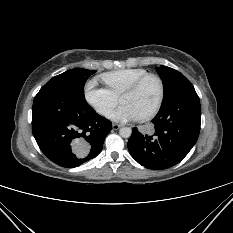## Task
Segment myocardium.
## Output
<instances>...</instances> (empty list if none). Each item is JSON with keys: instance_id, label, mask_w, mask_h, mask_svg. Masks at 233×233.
<instances>
[{"instance_id": "f54148a6", "label": "myocardium", "mask_w": 233, "mask_h": 233, "mask_svg": "<svg viewBox=\"0 0 233 233\" xmlns=\"http://www.w3.org/2000/svg\"><path fill=\"white\" fill-rule=\"evenodd\" d=\"M154 78L158 81L159 86H160V95H159V99L157 104L155 105V107L153 108L152 111H150L148 114L138 118L139 121L141 122H145V121H149L152 118H154L158 112L160 111L163 102H164V98H165V83L163 81V79L154 73H148L142 77H140L139 79H137L134 83H132L131 85H129L120 95V98L125 95V94H130V93H134L137 90L140 89V87L149 79Z\"/></svg>"}]
</instances>
